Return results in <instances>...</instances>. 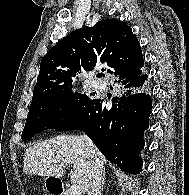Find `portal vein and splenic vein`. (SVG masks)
Here are the masks:
<instances>
[{
  "label": "portal vein and splenic vein",
  "mask_w": 189,
  "mask_h": 195,
  "mask_svg": "<svg viewBox=\"0 0 189 195\" xmlns=\"http://www.w3.org/2000/svg\"><path fill=\"white\" fill-rule=\"evenodd\" d=\"M80 191V186L78 184H72L69 189L70 195H79Z\"/></svg>",
  "instance_id": "18ae733b"
}]
</instances>
